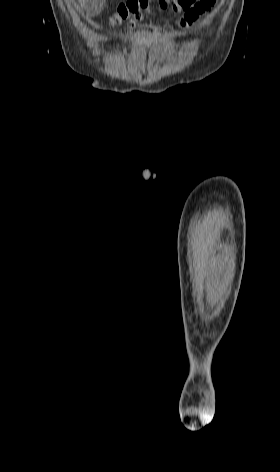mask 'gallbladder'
I'll return each instance as SVG.
<instances>
[{"instance_id": "1", "label": "gallbladder", "mask_w": 280, "mask_h": 472, "mask_svg": "<svg viewBox=\"0 0 280 472\" xmlns=\"http://www.w3.org/2000/svg\"><path fill=\"white\" fill-rule=\"evenodd\" d=\"M86 10L92 17L98 16L105 7V0H86Z\"/></svg>"}]
</instances>
